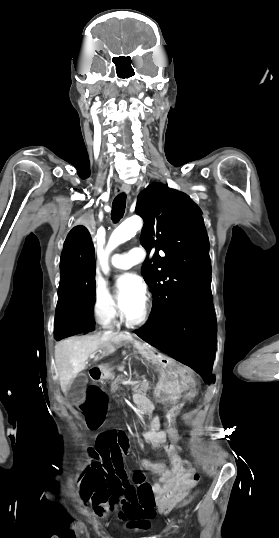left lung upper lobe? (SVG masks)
<instances>
[{
    "label": "left lung upper lobe",
    "mask_w": 279,
    "mask_h": 538,
    "mask_svg": "<svg viewBox=\"0 0 279 538\" xmlns=\"http://www.w3.org/2000/svg\"><path fill=\"white\" fill-rule=\"evenodd\" d=\"M135 211L144 220L141 244L148 253L156 248L142 266L153 295L144 325L149 329L165 324L185 301L210 289L209 243L200 210L187 195L166 185L154 183L143 190Z\"/></svg>",
    "instance_id": "1"
}]
</instances>
